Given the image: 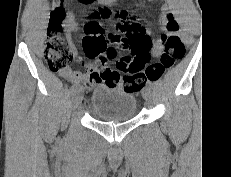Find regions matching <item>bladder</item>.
I'll use <instances>...</instances> for the list:
<instances>
[{"mask_svg":"<svg viewBox=\"0 0 231 177\" xmlns=\"http://www.w3.org/2000/svg\"><path fill=\"white\" fill-rule=\"evenodd\" d=\"M93 114L104 121H126L135 117L137 100L133 93L113 86H98L91 95Z\"/></svg>","mask_w":231,"mask_h":177,"instance_id":"obj_1","label":"bladder"}]
</instances>
